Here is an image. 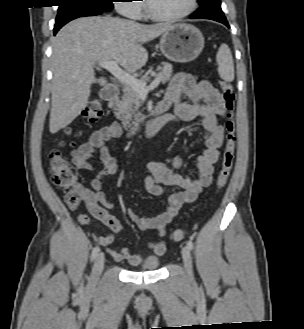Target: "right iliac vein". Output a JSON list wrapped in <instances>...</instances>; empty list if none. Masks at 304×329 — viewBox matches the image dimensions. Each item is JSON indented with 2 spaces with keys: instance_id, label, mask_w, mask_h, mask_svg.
Returning <instances> with one entry per match:
<instances>
[{
  "instance_id": "1",
  "label": "right iliac vein",
  "mask_w": 304,
  "mask_h": 329,
  "mask_svg": "<svg viewBox=\"0 0 304 329\" xmlns=\"http://www.w3.org/2000/svg\"><path fill=\"white\" fill-rule=\"evenodd\" d=\"M104 261L105 257L103 253H100L94 262L91 277H90V283L92 285L96 284L100 278V275L102 273L103 267H104Z\"/></svg>"
}]
</instances>
